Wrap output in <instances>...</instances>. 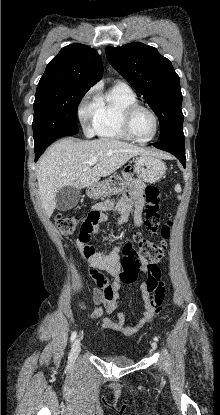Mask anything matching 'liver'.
I'll list each match as a JSON object with an SVG mask.
<instances>
[{
	"label": "liver",
	"mask_w": 220,
	"mask_h": 415,
	"mask_svg": "<svg viewBox=\"0 0 220 415\" xmlns=\"http://www.w3.org/2000/svg\"><path fill=\"white\" fill-rule=\"evenodd\" d=\"M152 154L144 148L111 138L81 142L62 139L53 144L41 157L36 172L39 197L46 215H52L59 189L89 187L101 177L111 175L132 157ZM93 157L97 158V163L91 168L88 161Z\"/></svg>",
	"instance_id": "liver-1"
}]
</instances>
